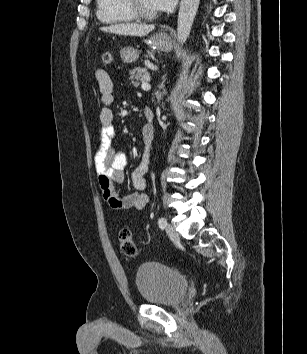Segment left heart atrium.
<instances>
[{"mask_svg":"<svg viewBox=\"0 0 307 354\" xmlns=\"http://www.w3.org/2000/svg\"><path fill=\"white\" fill-rule=\"evenodd\" d=\"M177 0H152L157 11H166L171 9Z\"/></svg>","mask_w":307,"mask_h":354,"instance_id":"39dd6f15","label":"left heart atrium"}]
</instances>
